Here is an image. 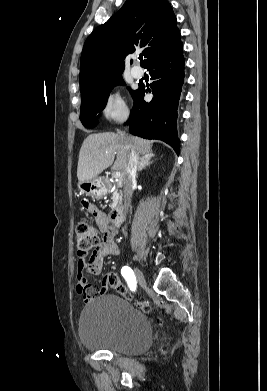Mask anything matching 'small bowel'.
<instances>
[{
    "label": "small bowel",
    "instance_id": "c3829d8e",
    "mask_svg": "<svg viewBox=\"0 0 267 391\" xmlns=\"http://www.w3.org/2000/svg\"><path fill=\"white\" fill-rule=\"evenodd\" d=\"M82 207L90 213L95 223L104 233L103 242L99 248L91 254L88 259H81L77 266V292L82 295L86 302L91 301L97 295H103L107 292L109 285L108 273L104 276L101 286L90 285L87 280V273L99 275L103 270L104 259L109 256H117L120 248L115 241L116 230L108 227V218L96 205L89 201H83Z\"/></svg>",
    "mask_w": 267,
    "mask_h": 391
}]
</instances>
